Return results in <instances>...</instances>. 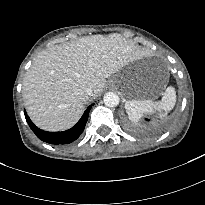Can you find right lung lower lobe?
I'll use <instances>...</instances> for the list:
<instances>
[{"label": "right lung lower lobe", "instance_id": "98d812e1", "mask_svg": "<svg viewBox=\"0 0 205 205\" xmlns=\"http://www.w3.org/2000/svg\"><path fill=\"white\" fill-rule=\"evenodd\" d=\"M93 104L90 105L86 111L84 112L81 119L78 121V123L73 126L71 129L63 132H46L39 128H37L28 115L25 112V118L27 120L28 125L32 129V131L36 134V136L41 139L44 142L50 143V144H67L71 143L74 140H76L81 133L83 132L85 125L88 120V114L90 109L92 108Z\"/></svg>", "mask_w": 205, "mask_h": 205}]
</instances>
